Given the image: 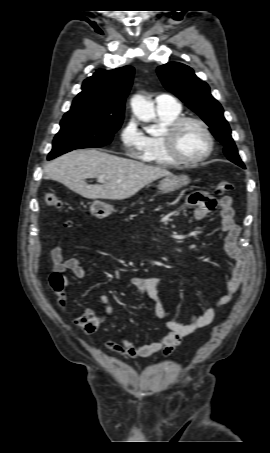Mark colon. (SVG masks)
Returning a JSON list of instances; mask_svg holds the SVG:
<instances>
[{
  "label": "colon",
  "instance_id": "colon-1",
  "mask_svg": "<svg viewBox=\"0 0 270 453\" xmlns=\"http://www.w3.org/2000/svg\"><path fill=\"white\" fill-rule=\"evenodd\" d=\"M232 188H233V185L231 182L220 181V182H218V184L216 186V193L223 194V193L231 191ZM199 198L211 207H213L215 204V201L206 193H199ZM45 202L50 207H55V208L62 207L61 200L54 193H47L45 195ZM50 285L59 299V304L61 306H64L65 297H64V282H63L62 276L58 273H53L50 277Z\"/></svg>",
  "mask_w": 270,
  "mask_h": 453
}]
</instances>
